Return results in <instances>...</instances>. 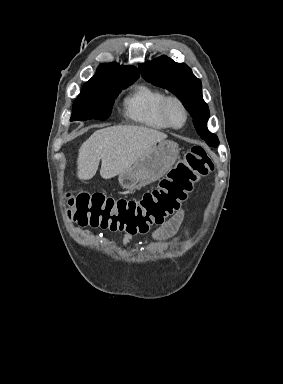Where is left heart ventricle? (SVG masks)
<instances>
[{
	"label": "left heart ventricle",
	"instance_id": "left-heart-ventricle-1",
	"mask_svg": "<svg viewBox=\"0 0 283 384\" xmlns=\"http://www.w3.org/2000/svg\"><path fill=\"white\" fill-rule=\"evenodd\" d=\"M168 114L169 119L173 125L180 126L183 123L184 113L177 104L173 103L170 105Z\"/></svg>",
	"mask_w": 283,
	"mask_h": 384
}]
</instances>
